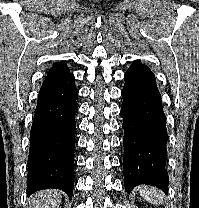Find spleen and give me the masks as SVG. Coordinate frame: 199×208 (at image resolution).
I'll return each instance as SVG.
<instances>
[{
    "instance_id": "spleen-1",
    "label": "spleen",
    "mask_w": 199,
    "mask_h": 208,
    "mask_svg": "<svg viewBox=\"0 0 199 208\" xmlns=\"http://www.w3.org/2000/svg\"><path fill=\"white\" fill-rule=\"evenodd\" d=\"M139 193L144 199L153 204H160L163 202L164 195L154 187L139 189Z\"/></svg>"
}]
</instances>
